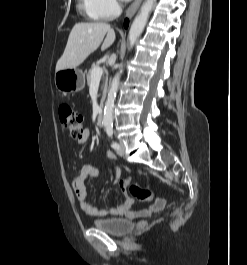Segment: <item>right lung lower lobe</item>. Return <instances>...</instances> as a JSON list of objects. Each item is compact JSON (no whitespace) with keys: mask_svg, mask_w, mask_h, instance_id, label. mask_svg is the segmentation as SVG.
<instances>
[{"mask_svg":"<svg viewBox=\"0 0 247 265\" xmlns=\"http://www.w3.org/2000/svg\"><path fill=\"white\" fill-rule=\"evenodd\" d=\"M124 25L127 28V26H128V19L125 20V24Z\"/></svg>","mask_w":247,"mask_h":265,"instance_id":"1","label":"right lung lower lobe"}]
</instances>
